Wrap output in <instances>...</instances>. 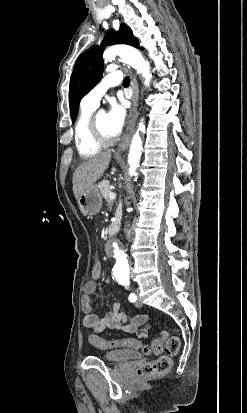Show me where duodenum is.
I'll return each instance as SVG.
<instances>
[{
    "instance_id": "410a0bca",
    "label": "duodenum",
    "mask_w": 247,
    "mask_h": 413,
    "mask_svg": "<svg viewBox=\"0 0 247 413\" xmlns=\"http://www.w3.org/2000/svg\"><path fill=\"white\" fill-rule=\"evenodd\" d=\"M117 230V224L115 222L111 223L107 228V233L109 236H113Z\"/></svg>"
}]
</instances>
